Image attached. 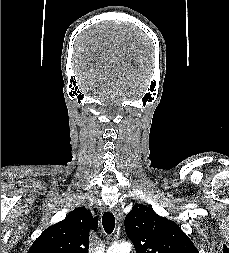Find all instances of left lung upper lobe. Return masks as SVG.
I'll return each mask as SVG.
<instances>
[{"label": "left lung upper lobe", "instance_id": "obj_1", "mask_svg": "<svg viewBox=\"0 0 229 253\" xmlns=\"http://www.w3.org/2000/svg\"><path fill=\"white\" fill-rule=\"evenodd\" d=\"M124 225L136 253H198L181 227L148 206L135 204Z\"/></svg>", "mask_w": 229, "mask_h": 253}]
</instances>
